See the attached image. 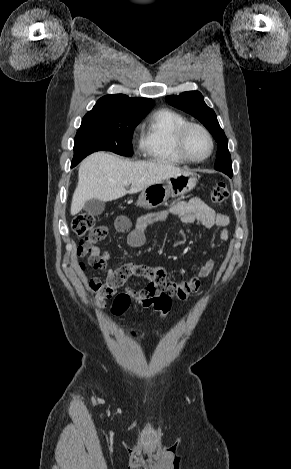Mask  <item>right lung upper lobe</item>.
<instances>
[{
    "mask_svg": "<svg viewBox=\"0 0 291 469\" xmlns=\"http://www.w3.org/2000/svg\"><path fill=\"white\" fill-rule=\"evenodd\" d=\"M154 106L149 98H134L124 94L106 95L100 98L86 117L124 119L143 118Z\"/></svg>",
    "mask_w": 291,
    "mask_h": 469,
    "instance_id": "cb5924a9",
    "label": "right lung upper lobe"
}]
</instances>
